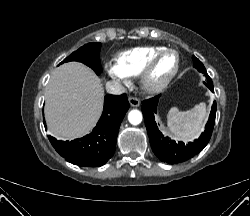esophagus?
<instances>
[{
  "label": "esophagus",
  "instance_id": "1",
  "mask_svg": "<svg viewBox=\"0 0 250 216\" xmlns=\"http://www.w3.org/2000/svg\"><path fill=\"white\" fill-rule=\"evenodd\" d=\"M129 103L132 107H138L140 105V100L136 97H130Z\"/></svg>",
  "mask_w": 250,
  "mask_h": 216
}]
</instances>
